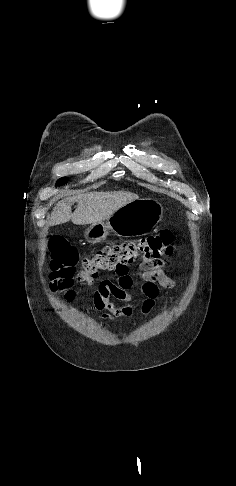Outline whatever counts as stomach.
<instances>
[{"label": "stomach", "mask_w": 236, "mask_h": 486, "mask_svg": "<svg viewBox=\"0 0 236 486\" xmlns=\"http://www.w3.org/2000/svg\"><path fill=\"white\" fill-rule=\"evenodd\" d=\"M163 211L156 199H136L115 211L105 223L92 224L84 236L97 243L105 240L110 231L123 237L146 235L162 221Z\"/></svg>", "instance_id": "0dacf381"}]
</instances>
